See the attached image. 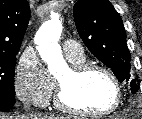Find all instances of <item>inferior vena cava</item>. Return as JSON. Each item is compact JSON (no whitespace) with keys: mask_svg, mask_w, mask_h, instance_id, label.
Listing matches in <instances>:
<instances>
[{"mask_svg":"<svg viewBox=\"0 0 142 119\" xmlns=\"http://www.w3.org/2000/svg\"><path fill=\"white\" fill-rule=\"evenodd\" d=\"M30 107L31 105L29 104V102H23V108L26 112L30 111Z\"/></svg>","mask_w":142,"mask_h":119,"instance_id":"1","label":"inferior vena cava"}]
</instances>
